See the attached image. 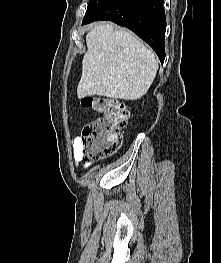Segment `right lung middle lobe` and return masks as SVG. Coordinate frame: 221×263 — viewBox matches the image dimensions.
Masks as SVG:
<instances>
[{
    "label": "right lung middle lobe",
    "instance_id": "1",
    "mask_svg": "<svg viewBox=\"0 0 221 263\" xmlns=\"http://www.w3.org/2000/svg\"><path fill=\"white\" fill-rule=\"evenodd\" d=\"M108 1L109 0H89L87 11L83 20L94 16Z\"/></svg>",
    "mask_w": 221,
    "mask_h": 263
}]
</instances>
